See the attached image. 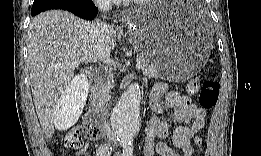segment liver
Instances as JSON below:
<instances>
[{"label":"liver","instance_id":"1","mask_svg":"<svg viewBox=\"0 0 261 156\" xmlns=\"http://www.w3.org/2000/svg\"><path fill=\"white\" fill-rule=\"evenodd\" d=\"M93 23L62 10H50L34 17L28 28V68L31 91L39 122L46 138H52L55 128L67 130L81 114V97H74L73 117L67 118L62 107L74 77V61L88 64L99 59L91 34ZM106 45L116 46V31L109 26Z\"/></svg>","mask_w":261,"mask_h":156}]
</instances>
